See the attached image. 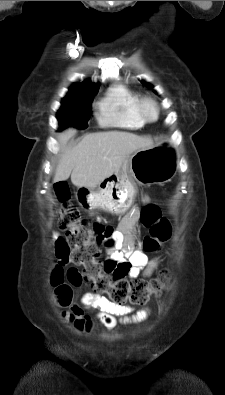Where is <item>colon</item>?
I'll use <instances>...</instances> for the list:
<instances>
[{
    "mask_svg": "<svg viewBox=\"0 0 225 395\" xmlns=\"http://www.w3.org/2000/svg\"><path fill=\"white\" fill-rule=\"evenodd\" d=\"M55 211L61 229L66 232V240L70 241L72 254L70 262L82 267V279L90 284L98 294L107 295L108 299L123 305L127 302L142 305L155 294L160 293L167 285L169 274L162 271L155 279L133 281L116 278L105 270V261L99 260L100 252L97 241L93 240L88 225L81 220L80 213L70 202L67 185L58 183L55 186ZM142 223L149 228L142 247L146 252L156 251L171 237V226L162 218L156 206H145L141 213ZM55 301L59 306H69L72 302V281L67 280V273L62 266H56L51 273Z\"/></svg>",
    "mask_w": 225,
    "mask_h": 395,
    "instance_id": "5ec220e1",
    "label": "colon"
}]
</instances>
